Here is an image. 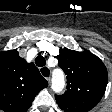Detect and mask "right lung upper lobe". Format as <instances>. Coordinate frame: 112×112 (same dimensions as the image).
Returning a JSON list of instances; mask_svg holds the SVG:
<instances>
[{
  "mask_svg": "<svg viewBox=\"0 0 112 112\" xmlns=\"http://www.w3.org/2000/svg\"><path fill=\"white\" fill-rule=\"evenodd\" d=\"M48 82L33 63H27L17 50L0 52V110L27 112L35 96Z\"/></svg>",
  "mask_w": 112,
  "mask_h": 112,
  "instance_id": "obj_1",
  "label": "right lung upper lobe"
}]
</instances>
